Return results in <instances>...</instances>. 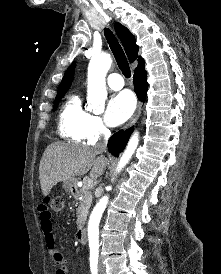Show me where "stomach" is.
<instances>
[{
	"label": "stomach",
	"mask_w": 221,
	"mask_h": 274,
	"mask_svg": "<svg viewBox=\"0 0 221 274\" xmlns=\"http://www.w3.org/2000/svg\"><path fill=\"white\" fill-rule=\"evenodd\" d=\"M63 188L66 192L73 193L76 190V182L74 179L63 182Z\"/></svg>",
	"instance_id": "stomach-1"
}]
</instances>
